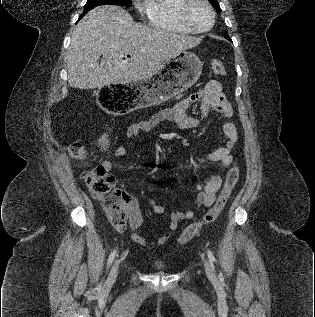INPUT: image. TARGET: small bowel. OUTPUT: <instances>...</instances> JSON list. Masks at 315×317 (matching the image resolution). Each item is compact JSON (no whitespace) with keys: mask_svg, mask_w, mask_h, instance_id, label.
<instances>
[{"mask_svg":"<svg viewBox=\"0 0 315 317\" xmlns=\"http://www.w3.org/2000/svg\"><path fill=\"white\" fill-rule=\"evenodd\" d=\"M200 101L201 118L205 117L210 110H215L226 118L223 125L224 133L227 137L226 143L216 150L205 155V159L212 162H218L221 167L228 168L232 163L231 152L238 141V131L233 122V110L227 99L222 93L221 85L217 81L208 82L201 90L181 99L173 107L164 109L147 121H141L129 125L126 129L127 137H136L144 132H149L163 121H173L181 128L196 127L200 118L187 114L189 107ZM126 148L119 146L115 150V156L121 157L126 154ZM107 171L112 169V162L104 160L101 164ZM222 184V178L219 175H213L205 184H195L193 188L198 192L195 200L196 208L211 206L215 200V195ZM148 191H153V186H148ZM128 203L129 224L132 230L131 239L148 249L163 245L176 230L178 223L184 219L193 218L195 212L188 210L186 212L175 211L167 213L165 208L157 203L153 198L149 199L152 210L169 220L167 231L156 241L149 240L137 233V230L143 223V216L139 204L134 196L128 192L121 191Z\"/></svg>","mask_w":315,"mask_h":317,"instance_id":"1","label":"small bowel"}]
</instances>
